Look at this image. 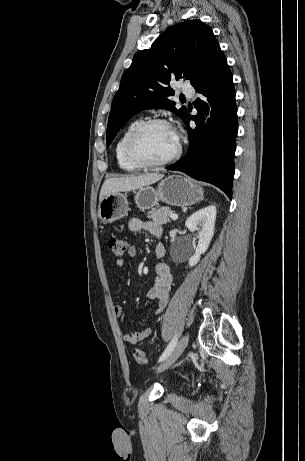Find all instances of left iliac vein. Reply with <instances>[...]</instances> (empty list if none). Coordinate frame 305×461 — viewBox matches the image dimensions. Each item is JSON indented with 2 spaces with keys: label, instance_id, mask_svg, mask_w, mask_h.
Segmentation results:
<instances>
[{
  "label": "left iliac vein",
  "instance_id": "1",
  "mask_svg": "<svg viewBox=\"0 0 305 461\" xmlns=\"http://www.w3.org/2000/svg\"><path fill=\"white\" fill-rule=\"evenodd\" d=\"M188 336L184 335L175 345L174 349L172 350L171 354L168 358L156 369L158 373L165 371L168 369L180 356V354L185 350L188 345Z\"/></svg>",
  "mask_w": 305,
  "mask_h": 461
}]
</instances>
